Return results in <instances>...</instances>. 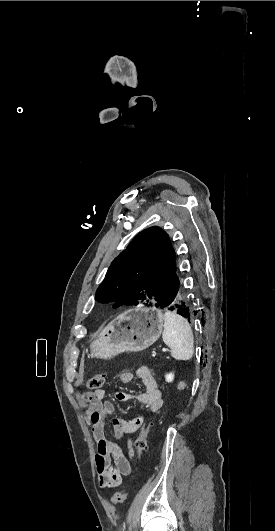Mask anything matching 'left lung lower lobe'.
I'll return each instance as SVG.
<instances>
[{
	"label": "left lung lower lobe",
	"instance_id": "0a47b994",
	"mask_svg": "<svg viewBox=\"0 0 275 531\" xmlns=\"http://www.w3.org/2000/svg\"><path fill=\"white\" fill-rule=\"evenodd\" d=\"M165 307L170 311H176L178 314L187 318L188 321H190V318L193 315L187 295L181 286ZM194 314H196V312Z\"/></svg>",
	"mask_w": 275,
	"mask_h": 531
}]
</instances>
